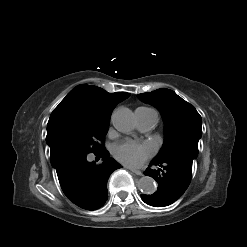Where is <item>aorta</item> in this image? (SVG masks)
<instances>
[{"instance_id": "762f6f07", "label": "aorta", "mask_w": 247, "mask_h": 247, "mask_svg": "<svg viewBox=\"0 0 247 247\" xmlns=\"http://www.w3.org/2000/svg\"><path fill=\"white\" fill-rule=\"evenodd\" d=\"M113 126L122 133H129L135 127V117L133 112L126 108L120 107L112 114ZM142 193L151 195L156 191V182L152 177H141L137 184Z\"/></svg>"}]
</instances>
